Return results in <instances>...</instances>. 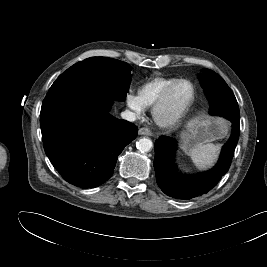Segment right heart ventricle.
<instances>
[{
  "instance_id": "e07e8e85",
  "label": "right heart ventricle",
  "mask_w": 267,
  "mask_h": 267,
  "mask_svg": "<svg viewBox=\"0 0 267 267\" xmlns=\"http://www.w3.org/2000/svg\"><path fill=\"white\" fill-rule=\"evenodd\" d=\"M178 78L156 77L142 84L138 89V96L145 106H152L162 92Z\"/></svg>"
}]
</instances>
